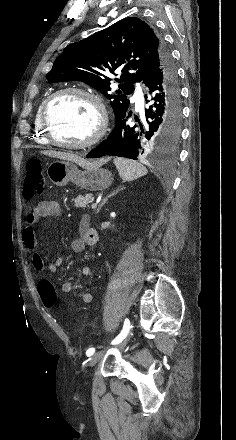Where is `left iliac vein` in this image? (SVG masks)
<instances>
[{"label": "left iliac vein", "instance_id": "left-iliac-vein-1", "mask_svg": "<svg viewBox=\"0 0 236 440\" xmlns=\"http://www.w3.org/2000/svg\"><path fill=\"white\" fill-rule=\"evenodd\" d=\"M129 338H130V335L128 334L122 341H121V343L119 344V346H118V348L119 349H122L125 345H126V343L128 342V340H129ZM103 355H104V353L103 352H97V353H95L91 358H90V361H89V366H94L102 357H103Z\"/></svg>", "mask_w": 236, "mask_h": 440}]
</instances>
